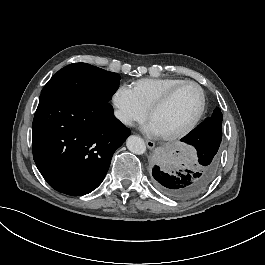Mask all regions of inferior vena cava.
<instances>
[{
  "mask_svg": "<svg viewBox=\"0 0 265 265\" xmlns=\"http://www.w3.org/2000/svg\"><path fill=\"white\" fill-rule=\"evenodd\" d=\"M115 115H116V116H119V112L116 111V112H115ZM122 122H123L124 124H129V121H128L127 119H122Z\"/></svg>",
  "mask_w": 265,
  "mask_h": 265,
  "instance_id": "1",
  "label": "inferior vena cava"
}]
</instances>
